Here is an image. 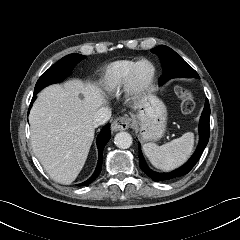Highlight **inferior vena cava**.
<instances>
[{
  "label": "inferior vena cava",
  "instance_id": "602c4592",
  "mask_svg": "<svg viewBox=\"0 0 240 240\" xmlns=\"http://www.w3.org/2000/svg\"><path fill=\"white\" fill-rule=\"evenodd\" d=\"M111 117V110L108 107H101L93 117L94 127L105 124Z\"/></svg>",
  "mask_w": 240,
  "mask_h": 240
}]
</instances>
